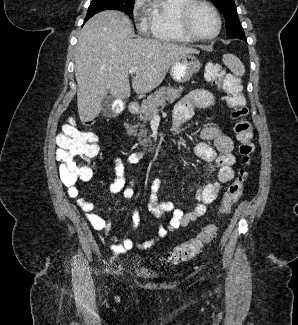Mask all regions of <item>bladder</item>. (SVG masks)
<instances>
[{
  "mask_svg": "<svg viewBox=\"0 0 298 325\" xmlns=\"http://www.w3.org/2000/svg\"><path fill=\"white\" fill-rule=\"evenodd\" d=\"M132 272L134 276L145 280L156 279L160 276L155 270L141 264H134Z\"/></svg>",
  "mask_w": 298,
  "mask_h": 325,
  "instance_id": "1",
  "label": "bladder"
}]
</instances>
